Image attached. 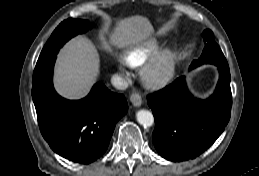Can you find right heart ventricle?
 Returning a JSON list of instances; mask_svg holds the SVG:
<instances>
[{
	"instance_id": "e07e8e85",
	"label": "right heart ventricle",
	"mask_w": 259,
	"mask_h": 176,
	"mask_svg": "<svg viewBox=\"0 0 259 176\" xmlns=\"http://www.w3.org/2000/svg\"><path fill=\"white\" fill-rule=\"evenodd\" d=\"M160 44L156 40L129 49L124 55L125 63L135 69L145 66L156 54Z\"/></svg>"
}]
</instances>
